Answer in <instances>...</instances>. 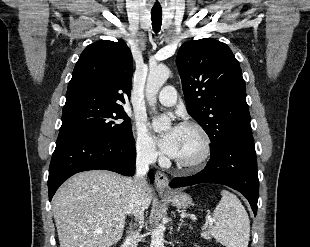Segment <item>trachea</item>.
Wrapping results in <instances>:
<instances>
[{"mask_svg": "<svg viewBox=\"0 0 310 247\" xmlns=\"http://www.w3.org/2000/svg\"><path fill=\"white\" fill-rule=\"evenodd\" d=\"M151 20L152 27L155 33L160 31L162 25V11L161 10H152L151 11Z\"/></svg>", "mask_w": 310, "mask_h": 247, "instance_id": "3493384b", "label": "trachea"}]
</instances>
